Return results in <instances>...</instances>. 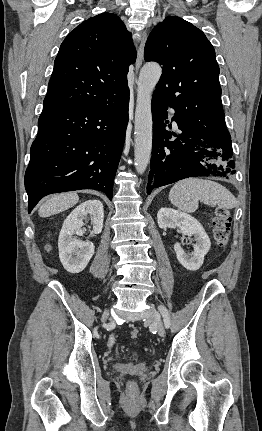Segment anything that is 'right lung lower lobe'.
<instances>
[{"mask_svg": "<svg viewBox=\"0 0 262 431\" xmlns=\"http://www.w3.org/2000/svg\"><path fill=\"white\" fill-rule=\"evenodd\" d=\"M128 103L129 89L100 106L43 109L25 173L29 213L56 192L95 189L112 199Z\"/></svg>", "mask_w": 262, "mask_h": 431, "instance_id": "obj_1", "label": "right lung lower lobe"}]
</instances>
